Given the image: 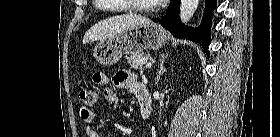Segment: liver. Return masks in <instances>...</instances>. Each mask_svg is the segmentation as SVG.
<instances>
[{
	"label": "liver",
	"mask_w": 280,
	"mask_h": 137,
	"mask_svg": "<svg viewBox=\"0 0 280 137\" xmlns=\"http://www.w3.org/2000/svg\"><path fill=\"white\" fill-rule=\"evenodd\" d=\"M149 23H152L150 19L133 13L110 17L94 24L86 31L83 44L110 38L127 29Z\"/></svg>",
	"instance_id": "liver-1"
}]
</instances>
